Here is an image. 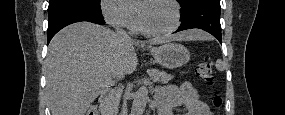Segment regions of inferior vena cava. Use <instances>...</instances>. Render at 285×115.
<instances>
[{
  "label": "inferior vena cava",
  "instance_id": "602c4592",
  "mask_svg": "<svg viewBox=\"0 0 285 115\" xmlns=\"http://www.w3.org/2000/svg\"><path fill=\"white\" fill-rule=\"evenodd\" d=\"M116 36L122 39L128 38V34L126 33V31H124L121 28H116V32H115ZM124 77V73H119L118 74V78L122 79ZM120 101H127V90H120ZM118 115H125V112L123 109H120L118 112Z\"/></svg>",
  "mask_w": 285,
  "mask_h": 115
}]
</instances>
